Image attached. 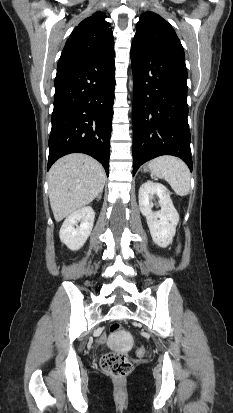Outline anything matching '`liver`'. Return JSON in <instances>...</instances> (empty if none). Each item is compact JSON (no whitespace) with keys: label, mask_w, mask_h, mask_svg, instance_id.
Instances as JSON below:
<instances>
[{"label":"liver","mask_w":233,"mask_h":413,"mask_svg":"<svg viewBox=\"0 0 233 413\" xmlns=\"http://www.w3.org/2000/svg\"><path fill=\"white\" fill-rule=\"evenodd\" d=\"M102 165L92 157L74 153L57 160L48 176L49 199L57 222L92 202L105 184Z\"/></svg>","instance_id":"6515ba94"}]
</instances>
